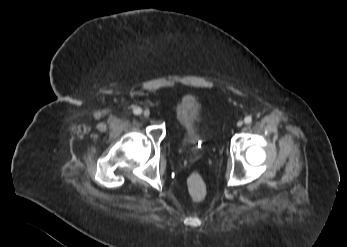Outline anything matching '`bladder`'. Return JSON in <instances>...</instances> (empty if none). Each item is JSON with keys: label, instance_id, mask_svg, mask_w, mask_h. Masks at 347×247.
<instances>
[{"label": "bladder", "instance_id": "31cf9c89", "mask_svg": "<svg viewBox=\"0 0 347 247\" xmlns=\"http://www.w3.org/2000/svg\"><path fill=\"white\" fill-rule=\"evenodd\" d=\"M177 117L182 127L181 145L191 148L204 137L205 122L198 114L197 105L190 97H184L177 108Z\"/></svg>", "mask_w": 347, "mask_h": 247}]
</instances>
